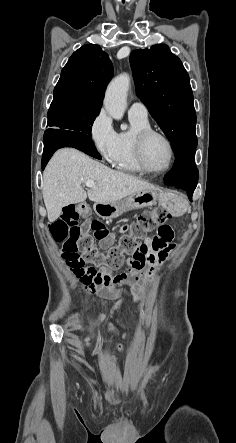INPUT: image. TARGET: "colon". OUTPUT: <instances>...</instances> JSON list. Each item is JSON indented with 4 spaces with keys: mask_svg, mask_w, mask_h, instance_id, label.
<instances>
[{
    "mask_svg": "<svg viewBox=\"0 0 236 443\" xmlns=\"http://www.w3.org/2000/svg\"><path fill=\"white\" fill-rule=\"evenodd\" d=\"M85 213L86 208L83 205L67 207L62 216L50 224V233L54 241L62 244L61 256L73 268H86V263L103 266L108 273L100 274L99 280L104 283L112 278L111 271L122 265L125 253L134 250L127 273H124L128 279L133 278L135 272L145 266L144 261L150 253L146 247L137 246V242L148 232L158 228L157 233L167 241H171L174 235L167 223L170 220L169 212L158 207L143 212L128 225L120 226L118 245L107 251H100L94 245V239L110 243L114 239V233L110 232L104 223L96 220L85 221L80 226L79 219Z\"/></svg>",
    "mask_w": 236,
    "mask_h": 443,
    "instance_id": "1",
    "label": "colon"
}]
</instances>
